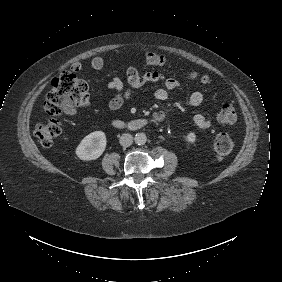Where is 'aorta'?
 Returning a JSON list of instances; mask_svg holds the SVG:
<instances>
[{
  "label": "aorta",
  "mask_w": 282,
  "mask_h": 282,
  "mask_svg": "<svg viewBox=\"0 0 282 282\" xmlns=\"http://www.w3.org/2000/svg\"><path fill=\"white\" fill-rule=\"evenodd\" d=\"M134 141L137 145H144L147 142V136L143 132L136 133Z\"/></svg>",
  "instance_id": "aorta-1"
}]
</instances>
